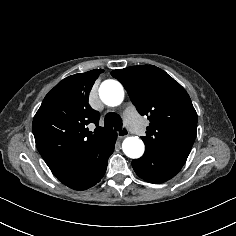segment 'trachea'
Here are the masks:
<instances>
[{
    "label": "trachea",
    "instance_id": "3493384b",
    "mask_svg": "<svg viewBox=\"0 0 236 236\" xmlns=\"http://www.w3.org/2000/svg\"><path fill=\"white\" fill-rule=\"evenodd\" d=\"M122 119L119 115L115 113H108L104 118L105 128L111 129L115 128L116 130L122 129Z\"/></svg>",
    "mask_w": 236,
    "mask_h": 236
}]
</instances>
